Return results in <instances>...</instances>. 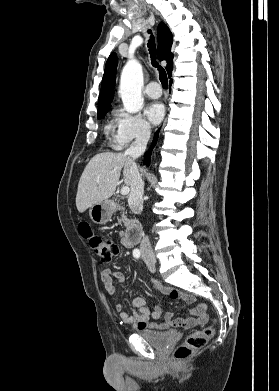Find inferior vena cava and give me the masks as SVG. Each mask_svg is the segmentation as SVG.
I'll list each match as a JSON object with an SVG mask.
<instances>
[{"label":"inferior vena cava","mask_w":279,"mask_h":391,"mask_svg":"<svg viewBox=\"0 0 279 391\" xmlns=\"http://www.w3.org/2000/svg\"><path fill=\"white\" fill-rule=\"evenodd\" d=\"M150 134V127H144L137 135L135 141L124 153L126 157L131 159V192L128 198V203L131 211L135 214H141L143 210L144 181L142 180V177L134 160L140 157L145 152L148 140L150 139ZM140 250L143 255H153V250L149 238L145 235L141 240Z\"/></svg>","instance_id":"obj_1"}]
</instances>
